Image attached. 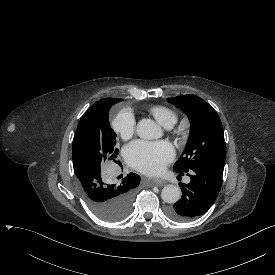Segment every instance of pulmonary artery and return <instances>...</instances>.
<instances>
[{
	"label": "pulmonary artery",
	"mask_w": 275,
	"mask_h": 275,
	"mask_svg": "<svg viewBox=\"0 0 275 275\" xmlns=\"http://www.w3.org/2000/svg\"><path fill=\"white\" fill-rule=\"evenodd\" d=\"M168 129L169 128H171V127H167ZM190 181V178L189 177H186L185 179H184V182H186V183H188Z\"/></svg>",
	"instance_id": "1"
}]
</instances>
